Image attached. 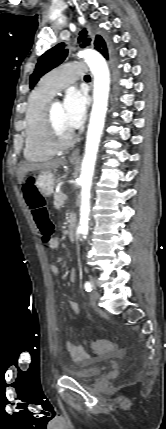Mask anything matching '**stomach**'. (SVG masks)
I'll use <instances>...</instances> for the list:
<instances>
[{
    "instance_id": "stomach-1",
    "label": "stomach",
    "mask_w": 166,
    "mask_h": 429,
    "mask_svg": "<svg viewBox=\"0 0 166 429\" xmlns=\"http://www.w3.org/2000/svg\"><path fill=\"white\" fill-rule=\"evenodd\" d=\"M71 163L75 164L72 160ZM35 185L37 186V189L41 190L42 196L49 197L54 192L55 175L52 172H40L39 175L35 177Z\"/></svg>"
}]
</instances>
